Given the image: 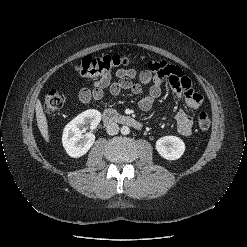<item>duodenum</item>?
<instances>
[{
  "label": "duodenum",
  "mask_w": 247,
  "mask_h": 247,
  "mask_svg": "<svg viewBox=\"0 0 247 247\" xmlns=\"http://www.w3.org/2000/svg\"><path fill=\"white\" fill-rule=\"evenodd\" d=\"M102 119L106 124L118 123L138 130L142 129L143 127L142 123L137 119L130 116L120 115L111 109H106L103 112Z\"/></svg>",
  "instance_id": "1"
}]
</instances>
